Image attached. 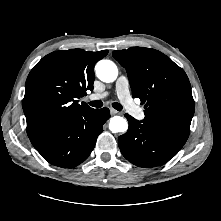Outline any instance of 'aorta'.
Masks as SVG:
<instances>
[{"label": "aorta", "instance_id": "aorta-1", "mask_svg": "<svg viewBox=\"0 0 221 221\" xmlns=\"http://www.w3.org/2000/svg\"><path fill=\"white\" fill-rule=\"evenodd\" d=\"M97 77L106 83L114 82L118 76V68L116 64L110 60H100L95 66ZM109 129L113 133L126 132L128 123L121 116H114L110 119Z\"/></svg>", "mask_w": 221, "mask_h": 221}]
</instances>
